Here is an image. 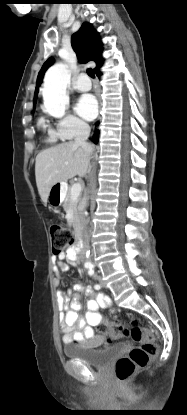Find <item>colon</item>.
<instances>
[{"mask_svg": "<svg viewBox=\"0 0 187 415\" xmlns=\"http://www.w3.org/2000/svg\"><path fill=\"white\" fill-rule=\"evenodd\" d=\"M51 248L54 255H61L72 247L74 242L73 233L59 223L50 226ZM96 329L111 338L119 336H130L139 346L133 348L128 355L120 357L115 363V375L119 382L128 381L134 373L146 367L152 357L159 350L155 342L153 331L140 324L139 320L133 319L129 329L120 321H101Z\"/></svg>", "mask_w": 187, "mask_h": 415, "instance_id": "1", "label": "colon"}]
</instances>
